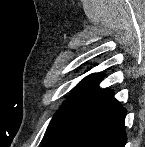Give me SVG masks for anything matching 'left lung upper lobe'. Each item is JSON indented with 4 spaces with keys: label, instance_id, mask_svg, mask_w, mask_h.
<instances>
[{
    "label": "left lung upper lobe",
    "instance_id": "left-lung-upper-lobe-1",
    "mask_svg": "<svg viewBox=\"0 0 145 147\" xmlns=\"http://www.w3.org/2000/svg\"><path fill=\"white\" fill-rule=\"evenodd\" d=\"M98 74H91L85 77L73 90L74 93L68 97L63 106L57 111L51 120L44 138L42 146L57 141L71 122L78 106L84 98L86 92L96 79Z\"/></svg>",
    "mask_w": 145,
    "mask_h": 147
}]
</instances>
